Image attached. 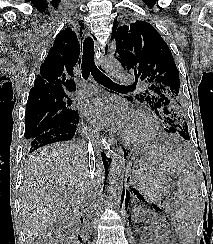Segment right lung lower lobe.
Here are the masks:
<instances>
[{
	"instance_id": "1",
	"label": "right lung lower lobe",
	"mask_w": 213,
	"mask_h": 244,
	"mask_svg": "<svg viewBox=\"0 0 213 244\" xmlns=\"http://www.w3.org/2000/svg\"><path fill=\"white\" fill-rule=\"evenodd\" d=\"M78 123H79V116L72 123L57 126L31 139L28 142V148H29L28 151L31 153L36 149L51 143L71 140L76 133V130L78 128ZM102 157H103L104 166L107 169L106 165L108 164V161H110V159H108L104 153H102ZM107 172L108 171H106V173Z\"/></svg>"
}]
</instances>
